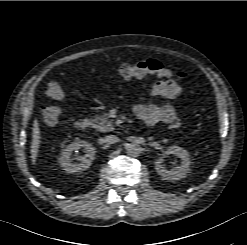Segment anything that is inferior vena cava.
Returning a JSON list of instances; mask_svg holds the SVG:
<instances>
[{"mask_svg":"<svg viewBox=\"0 0 247 245\" xmlns=\"http://www.w3.org/2000/svg\"><path fill=\"white\" fill-rule=\"evenodd\" d=\"M104 141L108 144H115L119 141V138L115 135H108L104 138Z\"/></svg>","mask_w":247,"mask_h":245,"instance_id":"inferior-vena-cava-1","label":"inferior vena cava"}]
</instances>
